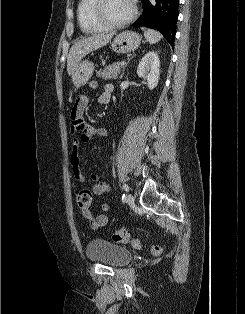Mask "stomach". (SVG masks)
Segmentation results:
<instances>
[{
	"instance_id": "0dacf381",
	"label": "stomach",
	"mask_w": 245,
	"mask_h": 314,
	"mask_svg": "<svg viewBox=\"0 0 245 314\" xmlns=\"http://www.w3.org/2000/svg\"><path fill=\"white\" fill-rule=\"evenodd\" d=\"M141 37L134 31H124L114 38L111 48L116 53H128L138 48ZM94 72V64L89 61H83L78 64L72 74V82L76 88L87 84Z\"/></svg>"
}]
</instances>
